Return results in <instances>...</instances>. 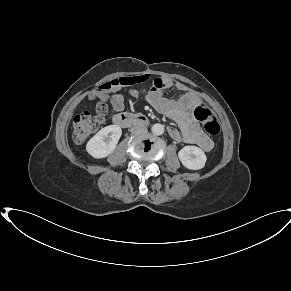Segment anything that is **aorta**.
Instances as JSON below:
<instances>
[{
	"label": "aorta",
	"instance_id": "aorta-1",
	"mask_svg": "<svg viewBox=\"0 0 291 291\" xmlns=\"http://www.w3.org/2000/svg\"><path fill=\"white\" fill-rule=\"evenodd\" d=\"M151 131L155 135H162L164 133V126L162 124L156 123L152 126Z\"/></svg>",
	"mask_w": 291,
	"mask_h": 291
}]
</instances>
